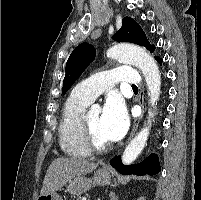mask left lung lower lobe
Listing matches in <instances>:
<instances>
[{
	"label": "left lung lower lobe",
	"instance_id": "0a47b994",
	"mask_svg": "<svg viewBox=\"0 0 201 200\" xmlns=\"http://www.w3.org/2000/svg\"><path fill=\"white\" fill-rule=\"evenodd\" d=\"M155 59L162 64V59L160 57H155ZM112 167H114L119 173L123 175L135 174L137 176L143 175H156L160 172V163L158 156L156 154L149 155L143 162L125 166L122 164L121 156H117L110 161Z\"/></svg>",
	"mask_w": 201,
	"mask_h": 200
}]
</instances>
